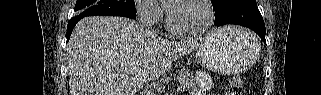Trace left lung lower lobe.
I'll return each mask as SVG.
<instances>
[{
    "instance_id": "1",
    "label": "left lung lower lobe",
    "mask_w": 321,
    "mask_h": 95,
    "mask_svg": "<svg viewBox=\"0 0 321 95\" xmlns=\"http://www.w3.org/2000/svg\"><path fill=\"white\" fill-rule=\"evenodd\" d=\"M215 10L214 24H236L246 26L255 31L263 42L265 40V24L257 8L256 0H224Z\"/></svg>"
}]
</instances>
